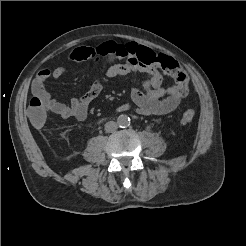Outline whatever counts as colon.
Listing matches in <instances>:
<instances>
[{"label":"colon","mask_w":246,"mask_h":246,"mask_svg":"<svg viewBox=\"0 0 246 246\" xmlns=\"http://www.w3.org/2000/svg\"><path fill=\"white\" fill-rule=\"evenodd\" d=\"M134 57L144 66L160 68L165 75L173 79L174 84L168 87V94L182 97L188 94L187 73L175 59L162 53H155L151 49L143 46L137 47ZM49 113V105L45 99L39 96H34L30 99L28 115L33 125L36 127L44 125ZM194 117L195 111L192 108H188L181 114L180 124L187 125L193 121Z\"/></svg>","instance_id":"colon-1"}]
</instances>
